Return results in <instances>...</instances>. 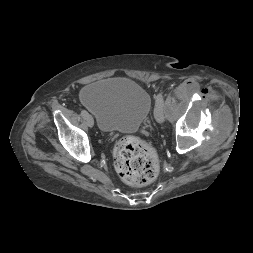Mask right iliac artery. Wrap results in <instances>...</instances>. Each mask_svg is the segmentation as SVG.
Here are the masks:
<instances>
[{
  "label": "right iliac artery",
  "mask_w": 253,
  "mask_h": 253,
  "mask_svg": "<svg viewBox=\"0 0 253 253\" xmlns=\"http://www.w3.org/2000/svg\"><path fill=\"white\" fill-rule=\"evenodd\" d=\"M87 114H88V113H87L86 110H81V115H82L83 117H85Z\"/></svg>",
  "instance_id": "obj_1"
}]
</instances>
